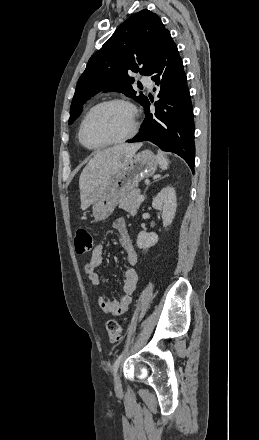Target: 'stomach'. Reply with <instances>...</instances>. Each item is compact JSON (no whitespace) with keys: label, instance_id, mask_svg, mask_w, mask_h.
<instances>
[{"label":"stomach","instance_id":"stomach-1","mask_svg":"<svg viewBox=\"0 0 259 440\" xmlns=\"http://www.w3.org/2000/svg\"><path fill=\"white\" fill-rule=\"evenodd\" d=\"M157 166V158L150 150L135 154L123 169L112 176L104 192L93 202L95 221L107 219L120 200L135 190L141 180L152 176Z\"/></svg>","mask_w":259,"mask_h":440}]
</instances>
